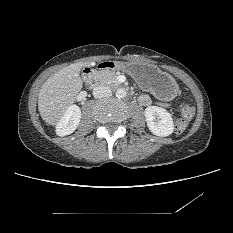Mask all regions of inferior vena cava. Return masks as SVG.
<instances>
[{
	"label": "inferior vena cava",
	"instance_id": "obj_1",
	"mask_svg": "<svg viewBox=\"0 0 233 233\" xmlns=\"http://www.w3.org/2000/svg\"><path fill=\"white\" fill-rule=\"evenodd\" d=\"M112 95V91L105 85H99L93 89V96L95 98H103Z\"/></svg>",
	"mask_w": 233,
	"mask_h": 233
}]
</instances>
